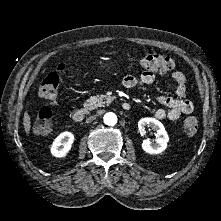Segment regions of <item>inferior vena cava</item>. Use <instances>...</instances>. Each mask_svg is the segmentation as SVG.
Returning a JSON list of instances; mask_svg holds the SVG:
<instances>
[{
	"label": "inferior vena cava",
	"instance_id": "obj_1",
	"mask_svg": "<svg viewBox=\"0 0 221 221\" xmlns=\"http://www.w3.org/2000/svg\"><path fill=\"white\" fill-rule=\"evenodd\" d=\"M95 118H96L95 115L90 116L89 118L86 119V123H90V122H92Z\"/></svg>",
	"mask_w": 221,
	"mask_h": 221
}]
</instances>
